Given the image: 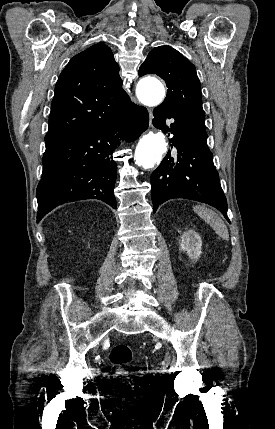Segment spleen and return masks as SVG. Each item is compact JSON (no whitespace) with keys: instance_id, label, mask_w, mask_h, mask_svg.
<instances>
[{"instance_id":"3e777b00","label":"spleen","mask_w":275,"mask_h":429,"mask_svg":"<svg viewBox=\"0 0 275 429\" xmlns=\"http://www.w3.org/2000/svg\"><path fill=\"white\" fill-rule=\"evenodd\" d=\"M193 210L205 222H207L222 239L224 240L229 239L228 229L224 221L214 211L201 205L194 206Z\"/></svg>"}]
</instances>
